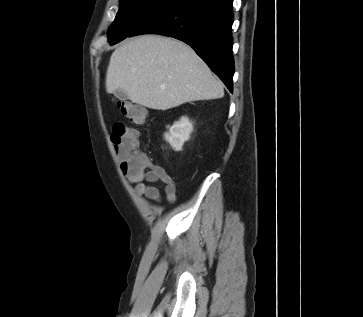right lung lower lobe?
<instances>
[{"label":"right lung lower lobe","mask_w":363,"mask_h":317,"mask_svg":"<svg viewBox=\"0 0 363 317\" xmlns=\"http://www.w3.org/2000/svg\"><path fill=\"white\" fill-rule=\"evenodd\" d=\"M233 0H178L128 36L161 34L190 45L232 92Z\"/></svg>","instance_id":"98d812e1"}]
</instances>
